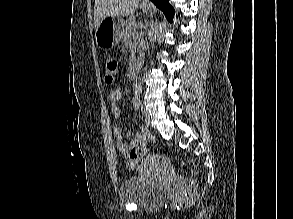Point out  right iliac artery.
Listing matches in <instances>:
<instances>
[{"label": "right iliac artery", "instance_id": "right-iliac-artery-1", "mask_svg": "<svg viewBox=\"0 0 293 219\" xmlns=\"http://www.w3.org/2000/svg\"><path fill=\"white\" fill-rule=\"evenodd\" d=\"M133 105H134L135 110H139L141 107L140 96L137 92H135V95L133 97Z\"/></svg>", "mask_w": 293, "mask_h": 219}]
</instances>
